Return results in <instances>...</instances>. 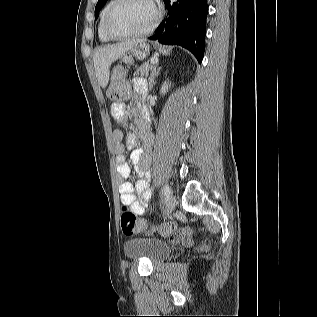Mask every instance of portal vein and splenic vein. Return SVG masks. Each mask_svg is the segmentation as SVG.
<instances>
[{
  "label": "portal vein and splenic vein",
  "mask_w": 317,
  "mask_h": 317,
  "mask_svg": "<svg viewBox=\"0 0 317 317\" xmlns=\"http://www.w3.org/2000/svg\"><path fill=\"white\" fill-rule=\"evenodd\" d=\"M157 62H158V59H157V58L151 59V63L155 64V63H157Z\"/></svg>",
  "instance_id": "obj_1"
}]
</instances>
